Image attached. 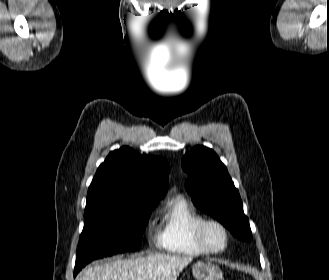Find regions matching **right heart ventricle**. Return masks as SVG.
<instances>
[{
    "mask_svg": "<svg viewBox=\"0 0 329 280\" xmlns=\"http://www.w3.org/2000/svg\"><path fill=\"white\" fill-rule=\"evenodd\" d=\"M204 216L184 196L170 199L165 207L158 243L167 253L198 257L206 255L195 240V228Z\"/></svg>",
    "mask_w": 329,
    "mask_h": 280,
    "instance_id": "1",
    "label": "right heart ventricle"
}]
</instances>
